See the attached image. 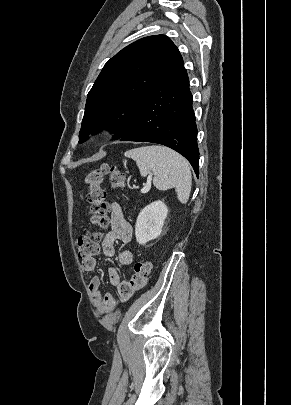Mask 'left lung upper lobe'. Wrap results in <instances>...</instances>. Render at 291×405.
Here are the masks:
<instances>
[{
  "instance_id": "5c2ea615",
  "label": "left lung upper lobe",
  "mask_w": 291,
  "mask_h": 405,
  "mask_svg": "<svg viewBox=\"0 0 291 405\" xmlns=\"http://www.w3.org/2000/svg\"><path fill=\"white\" fill-rule=\"evenodd\" d=\"M179 55L167 36L155 35L133 42L111 58L88 93L79 142L104 128L115 132L114 139L122 138L147 92Z\"/></svg>"
}]
</instances>
